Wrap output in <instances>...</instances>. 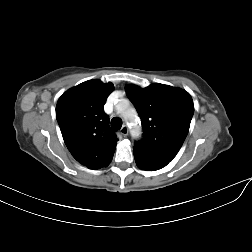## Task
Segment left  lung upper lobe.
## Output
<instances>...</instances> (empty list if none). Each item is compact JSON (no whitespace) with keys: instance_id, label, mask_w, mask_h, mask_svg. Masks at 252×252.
<instances>
[{"instance_id":"1","label":"left lung upper lobe","mask_w":252,"mask_h":252,"mask_svg":"<svg viewBox=\"0 0 252 252\" xmlns=\"http://www.w3.org/2000/svg\"><path fill=\"white\" fill-rule=\"evenodd\" d=\"M125 90L143 127V138L134 147L172 161L184 143L194 113L190 94L159 83L146 88L130 84Z\"/></svg>"}]
</instances>
